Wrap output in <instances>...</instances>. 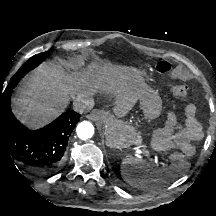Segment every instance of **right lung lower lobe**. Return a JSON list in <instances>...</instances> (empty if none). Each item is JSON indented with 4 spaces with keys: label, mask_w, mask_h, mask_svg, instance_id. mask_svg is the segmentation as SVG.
<instances>
[{
    "label": "right lung lower lobe",
    "mask_w": 216,
    "mask_h": 216,
    "mask_svg": "<svg viewBox=\"0 0 216 216\" xmlns=\"http://www.w3.org/2000/svg\"><path fill=\"white\" fill-rule=\"evenodd\" d=\"M8 85L0 94V157L13 159L38 176L55 173L63 163L69 137L80 114L67 111L49 125L30 131L13 115Z\"/></svg>",
    "instance_id": "98d812e1"
}]
</instances>
